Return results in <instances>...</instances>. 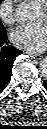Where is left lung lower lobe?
<instances>
[{"instance_id": "1", "label": "left lung lower lobe", "mask_w": 47, "mask_h": 129, "mask_svg": "<svg viewBox=\"0 0 47 129\" xmlns=\"http://www.w3.org/2000/svg\"><path fill=\"white\" fill-rule=\"evenodd\" d=\"M43 84H44V87L47 89V80H44Z\"/></svg>"}]
</instances>
